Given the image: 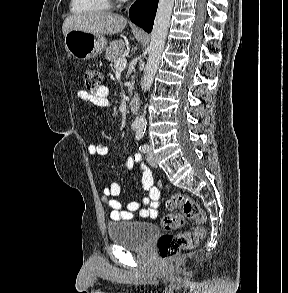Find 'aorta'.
I'll return each mask as SVG.
<instances>
[{
    "label": "aorta",
    "instance_id": "aorta-1",
    "mask_svg": "<svg viewBox=\"0 0 288 293\" xmlns=\"http://www.w3.org/2000/svg\"><path fill=\"white\" fill-rule=\"evenodd\" d=\"M173 5L174 0H159L158 2V8L151 32L149 57L141 81V88L143 92H146L150 89L157 72L170 25ZM146 124V119L143 115L136 117L133 123L134 127L139 131L145 130Z\"/></svg>",
    "mask_w": 288,
    "mask_h": 293
}]
</instances>
